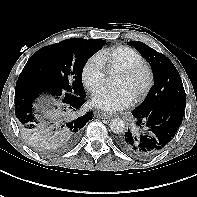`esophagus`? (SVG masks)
<instances>
[{
  "label": "esophagus",
  "instance_id": "1",
  "mask_svg": "<svg viewBox=\"0 0 197 197\" xmlns=\"http://www.w3.org/2000/svg\"><path fill=\"white\" fill-rule=\"evenodd\" d=\"M98 116H100L102 118L110 119L114 116V114L108 113V112H100V113H98Z\"/></svg>",
  "mask_w": 197,
  "mask_h": 197
}]
</instances>
